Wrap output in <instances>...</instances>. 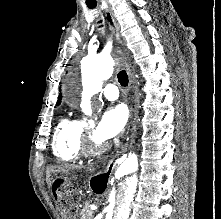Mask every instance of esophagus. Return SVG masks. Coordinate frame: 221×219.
<instances>
[{
  "label": "esophagus",
  "instance_id": "34e87169",
  "mask_svg": "<svg viewBox=\"0 0 221 219\" xmlns=\"http://www.w3.org/2000/svg\"><path fill=\"white\" fill-rule=\"evenodd\" d=\"M105 17L107 19L109 28L111 30V33H112L115 41L118 44H121V38H120V34H119V27H118V24H117L113 14H112V12L109 8L105 9ZM125 67H126V71H127L128 77H129V89H131L133 87V75H132L129 67L127 66L126 62H125ZM131 111H134L133 107L131 108Z\"/></svg>",
  "mask_w": 221,
  "mask_h": 219
}]
</instances>
